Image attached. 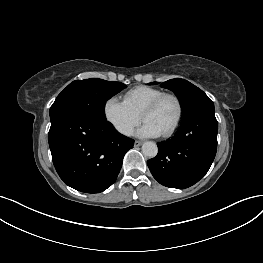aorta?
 I'll use <instances>...</instances> for the list:
<instances>
[{
  "instance_id": "obj_1",
  "label": "aorta",
  "mask_w": 263,
  "mask_h": 263,
  "mask_svg": "<svg viewBox=\"0 0 263 263\" xmlns=\"http://www.w3.org/2000/svg\"><path fill=\"white\" fill-rule=\"evenodd\" d=\"M142 152L146 157L153 158L158 153V147L156 143L148 141L142 145Z\"/></svg>"
}]
</instances>
